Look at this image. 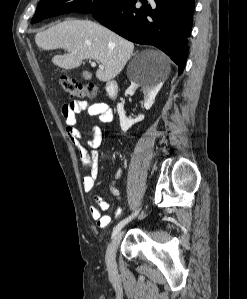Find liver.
I'll list each match as a JSON object with an SVG mask.
<instances>
[{"instance_id":"liver-1","label":"liver","mask_w":247,"mask_h":299,"mask_svg":"<svg viewBox=\"0 0 247 299\" xmlns=\"http://www.w3.org/2000/svg\"><path fill=\"white\" fill-rule=\"evenodd\" d=\"M39 48H62L67 53L56 55L52 62L65 70L78 68L85 59L99 62L103 68L96 71L98 80L106 82L115 78L130 59L134 44L108 28L90 20H67L39 32L35 36ZM162 70L163 79L170 73L166 55L152 51Z\"/></svg>"}]
</instances>
